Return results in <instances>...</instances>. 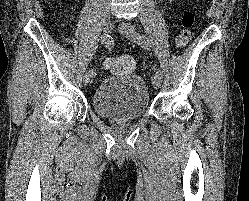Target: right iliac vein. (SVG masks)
<instances>
[{"label":"right iliac vein","instance_id":"obj_1","mask_svg":"<svg viewBox=\"0 0 249 201\" xmlns=\"http://www.w3.org/2000/svg\"><path fill=\"white\" fill-rule=\"evenodd\" d=\"M114 25H113V22L110 18L107 19V21L105 22V25H104V33L107 34V33H110L113 29ZM90 78H91V75L89 72H86L83 76V83L84 85H88V83L90 82Z\"/></svg>","mask_w":249,"mask_h":201}]
</instances>
